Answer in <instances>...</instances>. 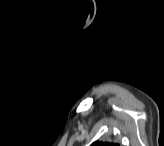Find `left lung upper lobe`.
<instances>
[{
	"label": "left lung upper lobe",
	"mask_w": 164,
	"mask_h": 146,
	"mask_svg": "<svg viewBox=\"0 0 164 146\" xmlns=\"http://www.w3.org/2000/svg\"><path fill=\"white\" fill-rule=\"evenodd\" d=\"M91 146H118V145L113 143H103V142L95 141L91 144Z\"/></svg>",
	"instance_id": "1"
}]
</instances>
